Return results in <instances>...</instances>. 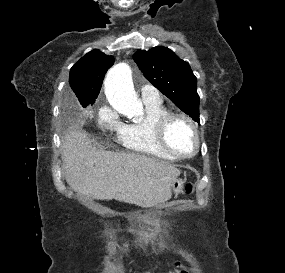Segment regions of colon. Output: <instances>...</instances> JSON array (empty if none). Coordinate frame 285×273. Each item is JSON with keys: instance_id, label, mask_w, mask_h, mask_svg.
<instances>
[{"instance_id": "colon-1", "label": "colon", "mask_w": 285, "mask_h": 273, "mask_svg": "<svg viewBox=\"0 0 285 273\" xmlns=\"http://www.w3.org/2000/svg\"><path fill=\"white\" fill-rule=\"evenodd\" d=\"M193 191V186L192 184H187L185 187V193L186 194H190ZM170 273H189L188 269L185 268L180 262H178L176 264V269L174 272H170Z\"/></svg>"}]
</instances>
